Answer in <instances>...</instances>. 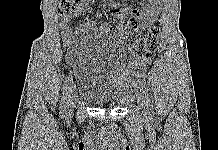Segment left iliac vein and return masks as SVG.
Here are the masks:
<instances>
[{"instance_id":"obj_1","label":"left iliac vein","mask_w":218,"mask_h":150,"mask_svg":"<svg viewBox=\"0 0 218 150\" xmlns=\"http://www.w3.org/2000/svg\"><path fill=\"white\" fill-rule=\"evenodd\" d=\"M137 102L141 113L144 116L148 115V108L144 97L141 94H137Z\"/></svg>"}]
</instances>
